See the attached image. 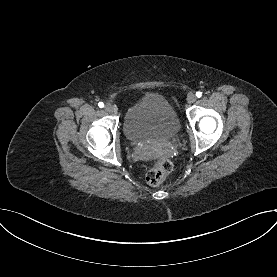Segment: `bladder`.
Returning a JSON list of instances; mask_svg holds the SVG:
<instances>
[{
	"mask_svg": "<svg viewBox=\"0 0 277 277\" xmlns=\"http://www.w3.org/2000/svg\"><path fill=\"white\" fill-rule=\"evenodd\" d=\"M180 128L174 107L156 93L146 94L133 103L123 122L125 136L134 143L168 140L175 137Z\"/></svg>",
	"mask_w": 277,
	"mask_h": 277,
	"instance_id": "1",
	"label": "bladder"
}]
</instances>
